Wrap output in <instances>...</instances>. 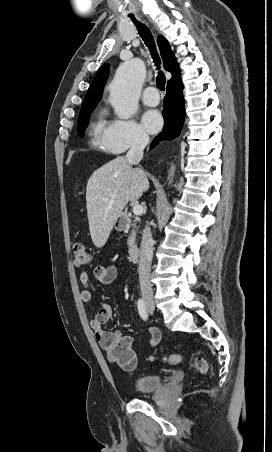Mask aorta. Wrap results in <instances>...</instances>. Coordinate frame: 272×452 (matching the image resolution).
Masks as SVG:
<instances>
[{
  "mask_svg": "<svg viewBox=\"0 0 272 452\" xmlns=\"http://www.w3.org/2000/svg\"><path fill=\"white\" fill-rule=\"evenodd\" d=\"M145 75V65L139 58L125 62L117 69L110 86V103L118 118L130 119L136 113ZM174 171L172 166L169 177L173 176Z\"/></svg>",
  "mask_w": 272,
  "mask_h": 452,
  "instance_id": "1",
  "label": "aorta"
}]
</instances>
